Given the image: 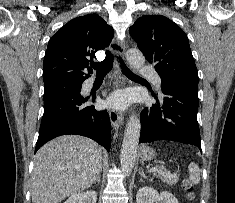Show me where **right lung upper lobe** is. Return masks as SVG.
Listing matches in <instances>:
<instances>
[{
	"label": "right lung upper lobe",
	"instance_id": "right-lung-upper-lobe-1",
	"mask_svg": "<svg viewBox=\"0 0 235 203\" xmlns=\"http://www.w3.org/2000/svg\"><path fill=\"white\" fill-rule=\"evenodd\" d=\"M113 28L97 14L77 17L50 39L43 62L44 86L83 82L92 73L89 59L109 46ZM88 71V74L85 72Z\"/></svg>",
	"mask_w": 235,
	"mask_h": 203
}]
</instances>
